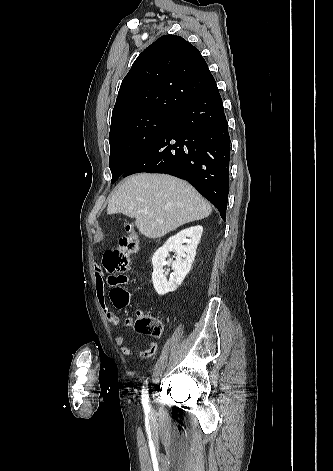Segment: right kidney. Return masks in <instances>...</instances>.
Listing matches in <instances>:
<instances>
[{"label":"right kidney","instance_id":"1","mask_svg":"<svg viewBox=\"0 0 333 471\" xmlns=\"http://www.w3.org/2000/svg\"><path fill=\"white\" fill-rule=\"evenodd\" d=\"M203 227L200 225L186 228L175 236L170 237L152 257L153 273L152 281L158 295H165L175 291L189 273L196 255V249L200 242ZM186 243V245H183ZM170 251L176 252V260L172 262L173 273L167 280L163 267Z\"/></svg>","mask_w":333,"mask_h":471}]
</instances>
